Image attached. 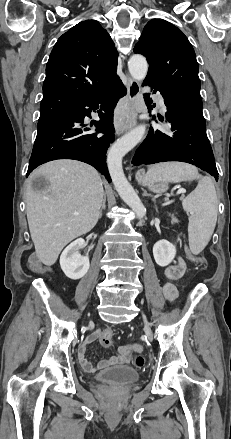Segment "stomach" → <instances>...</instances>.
I'll return each instance as SVG.
<instances>
[{
	"label": "stomach",
	"instance_id": "1",
	"mask_svg": "<svg viewBox=\"0 0 231 439\" xmlns=\"http://www.w3.org/2000/svg\"><path fill=\"white\" fill-rule=\"evenodd\" d=\"M146 175L143 171H138L136 174V179L138 180V182L143 183L145 181ZM148 189L154 193H164L168 190L169 185L167 182L165 181H153V182H149L147 184Z\"/></svg>",
	"mask_w": 231,
	"mask_h": 439
}]
</instances>
